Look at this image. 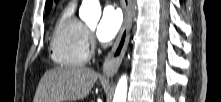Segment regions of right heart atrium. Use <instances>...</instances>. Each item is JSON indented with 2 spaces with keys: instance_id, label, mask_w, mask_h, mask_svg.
Returning a JSON list of instances; mask_svg holds the SVG:
<instances>
[{
  "instance_id": "obj_1",
  "label": "right heart atrium",
  "mask_w": 221,
  "mask_h": 102,
  "mask_svg": "<svg viewBox=\"0 0 221 102\" xmlns=\"http://www.w3.org/2000/svg\"><path fill=\"white\" fill-rule=\"evenodd\" d=\"M90 38V35H89V33L87 32V39H89Z\"/></svg>"
}]
</instances>
